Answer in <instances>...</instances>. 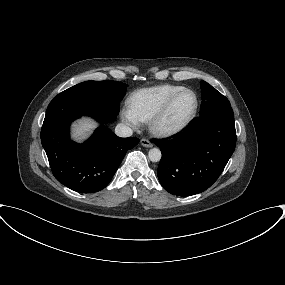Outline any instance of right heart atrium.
<instances>
[{
	"label": "right heart atrium",
	"instance_id": "1",
	"mask_svg": "<svg viewBox=\"0 0 285 285\" xmlns=\"http://www.w3.org/2000/svg\"><path fill=\"white\" fill-rule=\"evenodd\" d=\"M121 119L132 127H137L140 123L139 118L133 112L129 105L124 106L120 111Z\"/></svg>",
	"mask_w": 285,
	"mask_h": 285
}]
</instances>
